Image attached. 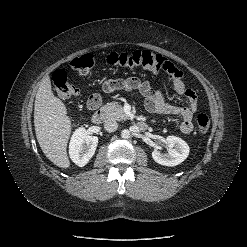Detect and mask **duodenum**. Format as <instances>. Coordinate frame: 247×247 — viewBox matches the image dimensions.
Returning a JSON list of instances; mask_svg holds the SVG:
<instances>
[{"mask_svg": "<svg viewBox=\"0 0 247 247\" xmlns=\"http://www.w3.org/2000/svg\"><path fill=\"white\" fill-rule=\"evenodd\" d=\"M106 117L105 111L103 109H97L93 112L92 114V122L95 124H101L102 122H104ZM137 126L141 129V130H146L147 129V124L144 121H139L137 123Z\"/></svg>", "mask_w": 247, "mask_h": 247, "instance_id": "1", "label": "duodenum"}]
</instances>
